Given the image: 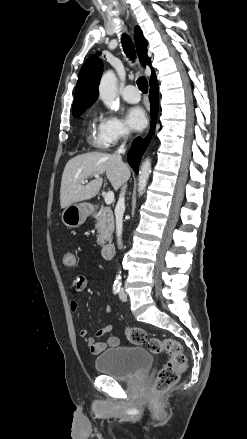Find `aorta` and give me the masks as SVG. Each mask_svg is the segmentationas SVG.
<instances>
[{
	"instance_id": "obj_1",
	"label": "aorta",
	"mask_w": 247,
	"mask_h": 439,
	"mask_svg": "<svg viewBox=\"0 0 247 439\" xmlns=\"http://www.w3.org/2000/svg\"><path fill=\"white\" fill-rule=\"evenodd\" d=\"M99 97L103 101L106 107L110 109H117L118 104L116 102L117 97V78L112 70H108L103 74L99 84ZM151 172V160L147 158L141 165L138 177V193L139 196L143 195L149 175ZM121 279L120 275L116 276V283H119Z\"/></svg>"
}]
</instances>
